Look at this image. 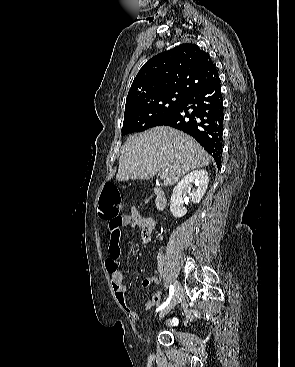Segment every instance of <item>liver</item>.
<instances>
[{
  "label": "liver",
  "instance_id": "1",
  "mask_svg": "<svg viewBox=\"0 0 295 367\" xmlns=\"http://www.w3.org/2000/svg\"><path fill=\"white\" fill-rule=\"evenodd\" d=\"M210 162L211 156L192 137L161 126L127 138L116 180H145L168 170L164 185L171 186L187 172L208 166Z\"/></svg>",
  "mask_w": 295,
  "mask_h": 367
}]
</instances>
